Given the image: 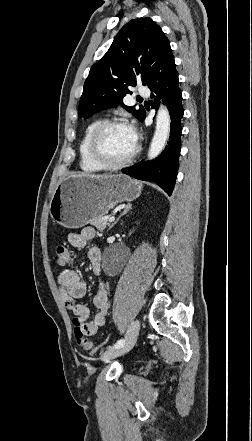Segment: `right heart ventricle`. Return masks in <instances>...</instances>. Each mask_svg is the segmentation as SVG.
Masks as SVG:
<instances>
[{"label": "right heart ventricle", "instance_id": "right-heart-ventricle-1", "mask_svg": "<svg viewBox=\"0 0 252 441\" xmlns=\"http://www.w3.org/2000/svg\"><path fill=\"white\" fill-rule=\"evenodd\" d=\"M100 122L101 120L96 119L87 125L79 144L80 168L85 172H99L104 170V168H102L91 159L88 152V144L91 134Z\"/></svg>", "mask_w": 252, "mask_h": 441}]
</instances>
